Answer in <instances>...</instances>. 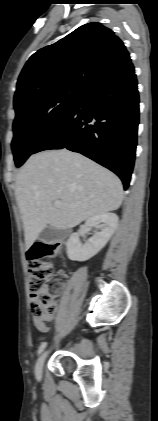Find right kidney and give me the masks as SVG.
Returning <instances> with one entry per match:
<instances>
[{"instance_id": "obj_1", "label": "right kidney", "mask_w": 158, "mask_h": 421, "mask_svg": "<svg viewBox=\"0 0 158 421\" xmlns=\"http://www.w3.org/2000/svg\"><path fill=\"white\" fill-rule=\"evenodd\" d=\"M85 226L97 227L100 232L82 245L78 233H73L67 242V255L72 261H86L95 256L109 241L118 226V216L114 213H104L89 218Z\"/></svg>"}]
</instances>
